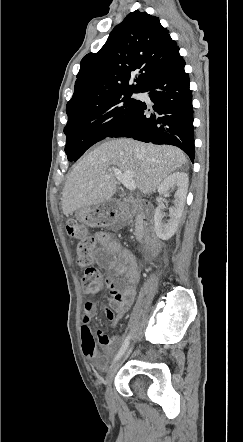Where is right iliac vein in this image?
Masks as SVG:
<instances>
[{"instance_id": "right-iliac-vein-1", "label": "right iliac vein", "mask_w": 243, "mask_h": 442, "mask_svg": "<svg viewBox=\"0 0 243 442\" xmlns=\"http://www.w3.org/2000/svg\"><path fill=\"white\" fill-rule=\"evenodd\" d=\"M133 346H131L127 352L123 355V359L127 358L129 356V354L132 351ZM121 364V360L117 361L110 369V371L108 372L106 379H105V385H106V391H105V399L106 402L109 405H113L114 404V397H113V392H112V388H111V384L112 381L114 379V376L116 374V372L118 371L119 367Z\"/></svg>"}]
</instances>
